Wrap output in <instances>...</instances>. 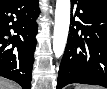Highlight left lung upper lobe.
I'll return each mask as SVG.
<instances>
[{
	"mask_svg": "<svg viewBox=\"0 0 107 89\" xmlns=\"http://www.w3.org/2000/svg\"><path fill=\"white\" fill-rule=\"evenodd\" d=\"M81 1L107 8V0H81Z\"/></svg>",
	"mask_w": 107,
	"mask_h": 89,
	"instance_id": "obj_1",
	"label": "left lung upper lobe"
}]
</instances>
